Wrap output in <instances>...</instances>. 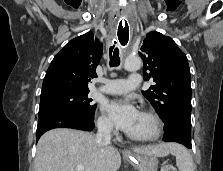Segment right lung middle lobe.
Segmentation results:
<instances>
[{"mask_svg":"<svg viewBox=\"0 0 223 171\" xmlns=\"http://www.w3.org/2000/svg\"><path fill=\"white\" fill-rule=\"evenodd\" d=\"M89 91H70L43 97L40 100L39 117L58 110H72L94 118L96 104L88 97Z\"/></svg>","mask_w":223,"mask_h":171,"instance_id":"obj_1","label":"right lung middle lobe"}]
</instances>
